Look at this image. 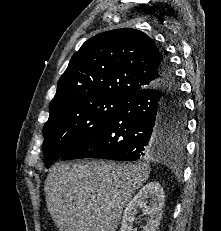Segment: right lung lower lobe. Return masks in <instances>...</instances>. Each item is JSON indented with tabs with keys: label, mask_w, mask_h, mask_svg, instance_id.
<instances>
[{
	"label": "right lung lower lobe",
	"mask_w": 221,
	"mask_h": 231,
	"mask_svg": "<svg viewBox=\"0 0 221 231\" xmlns=\"http://www.w3.org/2000/svg\"><path fill=\"white\" fill-rule=\"evenodd\" d=\"M163 53L160 80L127 98L105 124L62 160L102 158L118 161L159 156L170 142L164 137L165 110L182 99L174 70Z\"/></svg>",
	"instance_id": "98d812e1"
}]
</instances>
